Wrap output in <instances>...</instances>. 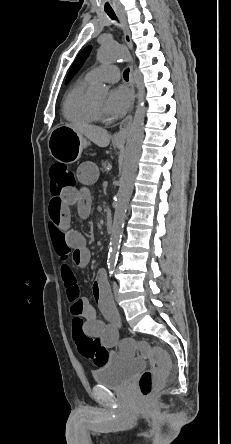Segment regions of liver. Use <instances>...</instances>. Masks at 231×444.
I'll list each match as a JSON object with an SVG mask.
<instances>
[{
    "label": "liver",
    "mask_w": 231,
    "mask_h": 444,
    "mask_svg": "<svg viewBox=\"0 0 231 444\" xmlns=\"http://www.w3.org/2000/svg\"><path fill=\"white\" fill-rule=\"evenodd\" d=\"M66 126L72 128L76 133L87 137L99 147H107L110 143V134L101 127L85 123L66 124Z\"/></svg>",
    "instance_id": "1"
}]
</instances>
